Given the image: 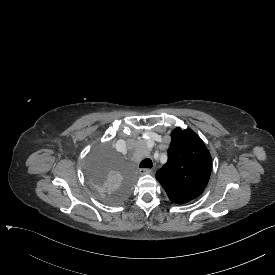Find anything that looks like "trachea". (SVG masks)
Here are the masks:
<instances>
[{
    "label": "trachea",
    "mask_w": 275,
    "mask_h": 275,
    "mask_svg": "<svg viewBox=\"0 0 275 275\" xmlns=\"http://www.w3.org/2000/svg\"><path fill=\"white\" fill-rule=\"evenodd\" d=\"M152 166H153V163L150 158H146L142 160L141 163L139 164L140 168H152Z\"/></svg>",
    "instance_id": "obj_1"
}]
</instances>
